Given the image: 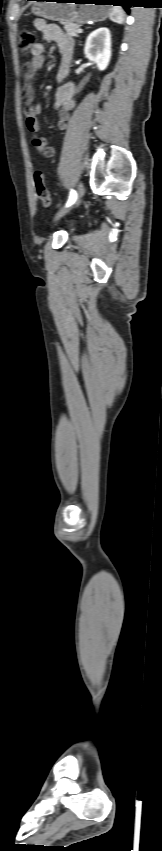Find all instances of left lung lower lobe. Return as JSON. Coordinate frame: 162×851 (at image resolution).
<instances>
[{
    "instance_id": "0a47b994",
    "label": "left lung lower lobe",
    "mask_w": 162,
    "mask_h": 851,
    "mask_svg": "<svg viewBox=\"0 0 162 851\" xmlns=\"http://www.w3.org/2000/svg\"><path fill=\"white\" fill-rule=\"evenodd\" d=\"M43 1H45V0H43ZM101 1H102L101 3H110V4H113L115 6L116 5L123 6L126 11L129 10L128 8L130 6L128 0H101Z\"/></svg>"
}]
</instances>
